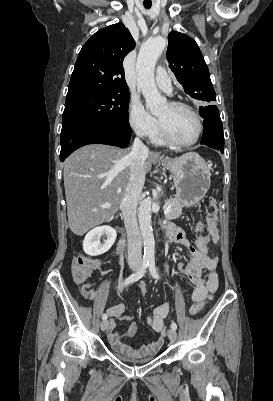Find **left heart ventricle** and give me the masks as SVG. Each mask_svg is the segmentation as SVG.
Returning a JSON list of instances; mask_svg holds the SVG:
<instances>
[{
    "instance_id": "b2bd125f",
    "label": "left heart ventricle",
    "mask_w": 273,
    "mask_h": 401,
    "mask_svg": "<svg viewBox=\"0 0 273 401\" xmlns=\"http://www.w3.org/2000/svg\"><path fill=\"white\" fill-rule=\"evenodd\" d=\"M171 134L180 141H191L198 133L195 117L185 109L167 104L158 115Z\"/></svg>"
}]
</instances>
